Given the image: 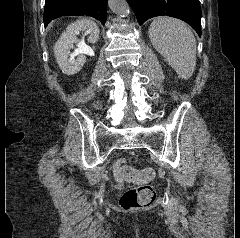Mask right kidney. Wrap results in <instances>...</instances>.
Here are the masks:
<instances>
[{
  "label": "right kidney",
  "instance_id": "1",
  "mask_svg": "<svg viewBox=\"0 0 240 238\" xmlns=\"http://www.w3.org/2000/svg\"><path fill=\"white\" fill-rule=\"evenodd\" d=\"M81 31L89 34V43L94 44L98 41L100 33L98 26L94 21L83 18L71 23L55 44L54 54L57 63L66 75H74L79 72L86 62V57L83 54L92 51L91 48L85 46L77 52H70L73 49V44L78 42L77 36Z\"/></svg>",
  "mask_w": 240,
  "mask_h": 238
}]
</instances>
